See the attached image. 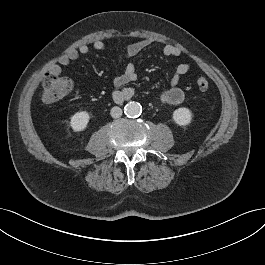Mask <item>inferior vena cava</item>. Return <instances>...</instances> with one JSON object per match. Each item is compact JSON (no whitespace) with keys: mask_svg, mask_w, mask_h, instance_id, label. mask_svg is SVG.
<instances>
[{"mask_svg":"<svg viewBox=\"0 0 265 265\" xmlns=\"http://www.w3.org/2000/svg\"><path fill=\"white\" fill-rule=\"evenodd\" d=\"M110 114L113 118H119L122 116V109L118 106H114L111 109Z\"/></svg>","mask_w":265,"mask_h":265,"instance_id":"602c4592","label":"inferior vena cava"}]
</instances>
